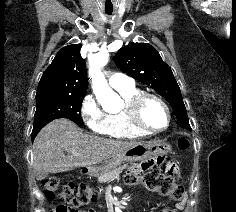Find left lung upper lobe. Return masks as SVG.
Returning a JSON list of instances; mask_svg holds the SVG:
<instances>
[{
    "instance_id": "1",
    "label": "left lung upper lobe",
    "mask_w": 236,
    "mask_h": 212,
    "mask_svg": "<svg viewBox=\"0 0 236 212\" xmlns=\"http://www.w3.org/2000/svg\"><path fill=\"white\" fill-rule=\"evenodd\" d=\"M114 62L124 73L163 96L173 108L177 124L190 129L181 91L173 72L153 46L131 42L116 53Z\"/></svg>"
}]
</instances>
